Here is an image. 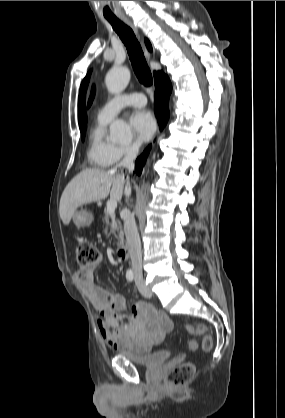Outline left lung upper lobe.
Segmentation results:
<instances>
[{"mask_svg": "<svg viewBox=\"0 0 285 418\" xmlns=\"http://www.w3.org/2000/svg\"><path fill=\"white\" fill-rule=\"evenodd\" d=\"M94 93H95V88L93 87L92 91H91L90 99H89V102H88V106H90L92 101H93Z\"/></svg>", "mask_w": 285, "mask_h": 418, "instance_id": "5c2ea615", "label": "left lung upper lobe"}]
</instances>
